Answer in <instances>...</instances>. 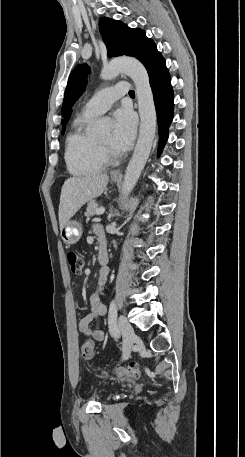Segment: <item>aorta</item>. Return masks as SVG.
Here are the masks:
<instances>
[{"label":"aorta","mask_w":245,"mask_h":457,"mask_svg":"<svg viewBox=\"0 0 245 457\" xmlns=\"http://www.w3.org/2000/svg\"><path fill=\"white\" fill-rule=\"evenodd\" d=\"M120 72L127 74L134 82L141 119L139 138L127 166L122 186V197L126 198L136 185L149 157L156 135L157 116L149 76L143 64L134 58L115 59L104 66L101 78L111 80ZM110 123L108 118L100 119L96 122L94 130L103 132L109 128Z\"/></svg>","instance_id":"aorta-1"}]
</instances>
